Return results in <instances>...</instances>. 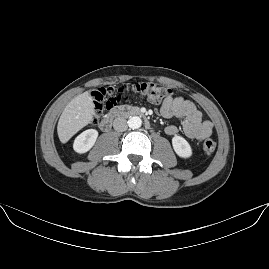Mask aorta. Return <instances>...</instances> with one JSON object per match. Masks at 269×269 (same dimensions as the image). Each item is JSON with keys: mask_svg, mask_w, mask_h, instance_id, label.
I'll use <instances>...</instances> for the list:
<instances>
[{"mask_svg": "<svg viewBox=\"0 0 269 269\" xmlns=\"http://www.w3.org/2000/svg\"><path fill=\"white\" fill-rule=\"evenodd\" d=\"M128 125L132 129H138L142 125V120L138 116L130 117L129 120H128Z\"/></svg>", "mask_w": 269, "mask_h": 269, "instance_id": "762f6f07", "label": "aorta"}]
</instances>
